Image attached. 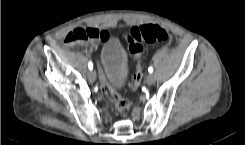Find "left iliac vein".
<instances>
[{
  "instance_id": "obj_1",
  "label": "left iliac vein",
  "mask_w": 245,
  "mask_h": 145,
  "mask_svg": "<svg viewBox=\"0 0 245 145\" xmlns=\"http://www.w3.org/2000/svg\"><path fill=\"white\" fill-rule=\"evenodd\" d=\"M146 82L148 85H152L155 83V76L153 74H149L146 78Z\"/></svg>"
}]
</instances>
